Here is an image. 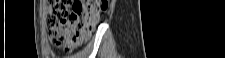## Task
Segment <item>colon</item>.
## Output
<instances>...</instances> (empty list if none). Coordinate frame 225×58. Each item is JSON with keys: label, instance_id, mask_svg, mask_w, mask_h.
<instances>
[{"label": "colon", "instance_id": "obj_1", "mask_svg": "<svg viewBox=\"0 0 225 58\" xmlns=\"http://www.w3.org/2000/svg\"><path fill=\"white\" fill-rule=\"evenodd\" d=\"M106 10L105 0H51L46 23L53 45L68 51L79 47Z\"/></svg>", "mask_w": 225, "mask_h": 58}]
</instances>
